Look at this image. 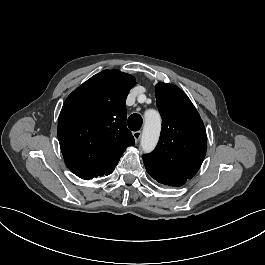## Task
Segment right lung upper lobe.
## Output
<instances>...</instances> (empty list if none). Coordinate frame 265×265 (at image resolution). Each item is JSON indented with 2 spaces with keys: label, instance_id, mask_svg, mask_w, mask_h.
Listing matches in <instances>:
<instances>
[{
  "label": "right lung upper lobe",
  "instance_id": "1",
  "mask_svg": "<svg viewBox=\"0 0 265 265\" xmlns=\"http://www.w3.org/2000/svg\"><path fill=\"white\" fill-rule=\"evenodd\" d=\"M135 78L119 70L92 76L65 100L58 139L71 171L110 174L128 146L135 144L126 127L125 101Z\"/></svg>",
  "mask_w": 265,
  "mask_h": 265
}]
</instances>
